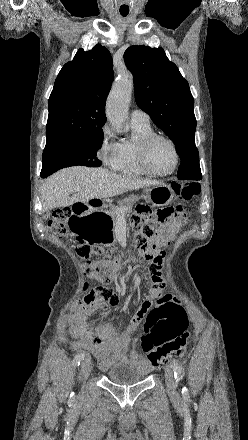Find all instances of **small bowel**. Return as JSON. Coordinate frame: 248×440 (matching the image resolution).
I'll list each match as a JSON object with an SVG mask.
<instances>
[{"instance_id": "1", "label": "small bowel", "mask_w": 248, "mask_h": 440, "mask_svg": "<svg viewBox=\"0 0 248 440\" xmlns=\"http://www.w3.org/2000/svg\"><path fill=\"white\" fill-rule=\"evenodd\" d=\"M161 257H154L148 261V269L152 278L150 294L153 299L146 300L131 317L123 331H117L111 324L103 323L93 326L89 319L96 311H104L109 307H116L119 303V295L111 288L114 297L110 300L101 299L90 308L78 307L70 317L69 331L74 341L73 349H84L94 354L101 369H109L112 366L123 363L137 371L148 372L152 367L150 360L137 350L141 323L146 314L158 303L169 304L171 301L178 303L175 295L162 296L166 282L163 278V264ZM155 271V272H154Z\"/></svg>"}]
</instances>
